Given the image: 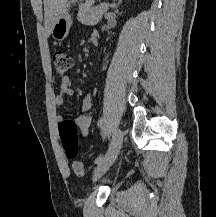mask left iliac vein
<instances>
[{"label":"left iliac vein","instance_id":"obj_1","mask_svg":"<svg viewBox=\"0 0 216 217\" xmlns=\"http://www.w3.org/2000/svg\"><path fill=\"white\" fill-rule=\"evenodd\" d=\"M123 137H124V133L120 129L114 132L112 142L109 146V149L107 151L104 160L100 164H98V166L94 169V173H93L94 181L102 177L116 160L117 155L119 154V151L123 143Z\"/></svg>","mask_w":216,"mask_h":217}]
</instances>
